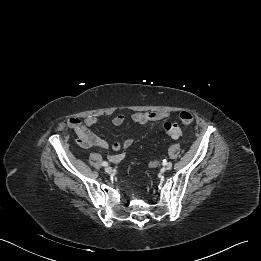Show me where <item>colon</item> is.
Instances as JSON below:
<instances>
[{
    "mask_svg": "<svg viewBox=\"0 0 261 261\" xmlns=\"http://www.w3.org/2000/svg\"><path fill=\"white\" fill-rule=\"evenodd\" d=\"M164 132L172 138H180L183 136V130L181 126L175 122L167 121L163 124Z\"/></svg>",
    "mask_w": 261,
    "mask_h": 261,
    "instance_id": "colon-1",
    "label": "colon"
}]
</instances>
